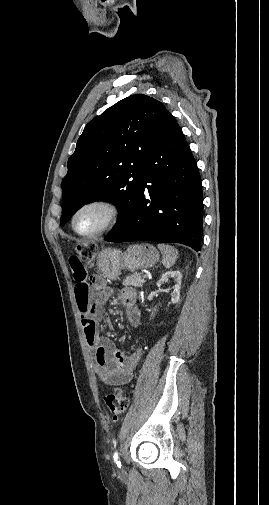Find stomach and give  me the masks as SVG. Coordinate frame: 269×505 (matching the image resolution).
Masks as SVG:
<instances>
[{"label": "stomach", "mask_w": 269, "mask_h": 505, "mask_svg": "<svg viewBox=\"0 0 269 505\" xmlns=\"http://www.w3.org/2000/svg\"><path fill=\"white\" fill-rule=\"evenodd\" d=\"M160 259L158 250L151 244L130 245L125 251L119 249H103L97 256V267L101 274L115 280L122 270L134 272L138 269L149 268Z\"/></svg>", "instance_id": "1"}]
</instances>
